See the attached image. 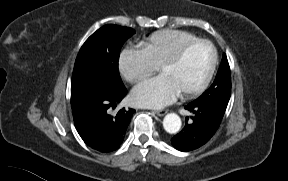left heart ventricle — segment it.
<instances>
[{
	"mask_svg": "<svg viewBox=\"0 0 288 181\" xmlns=\"http://www.w3.org/2000/svg\"><path fill=\"white\" fill-rule=\"evenodd\" d=\"M214 54L207 44L192 48L176 65L162 68L159 72L167 77L179 93L199 85L207 76Z\"/></svg>",
	"mask_w": 288,
	"mask_h": 181,
	"instance_id": "obj_1",
	"label": "left heart ventricle"
}]
</instances>
